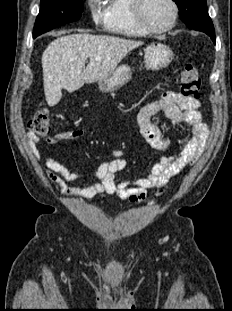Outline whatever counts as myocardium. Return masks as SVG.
<instances>
[{
	"mask_svg": "<svg viewBox=\"0 0 232 311\" xmlns=\"http://www.w3.org/2000/svg\"><path fill=\"white\" fill-rule=\"evenodd\" d=\"M131 9H132V14L135 22L137 25L144 30L146 33H152V34H158V33H164L169 30H171L175 25L178 20L179 16V8L175 0H168L170 3L172 10H173V15L170 23L164 27L161 28H155L150 26L143 15V3L144 0H131Z\"/></svg>",
	"mask_w": 232,
	"mask_h": 311,
	"instance_id": "f54148a6",
	"label": "myocardium"
}]
</instances>
